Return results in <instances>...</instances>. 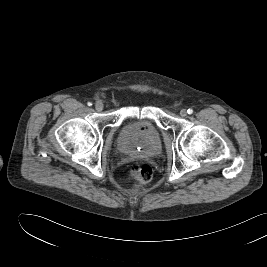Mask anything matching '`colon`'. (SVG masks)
<instances>
[{
    "instance_id": "1",
    "label": "colon",
    "mask_w": 267,
    "mask_h": 267,
    "mask_svg": "<svg viewBox=\"0 0 267 267\" xmlns=\"http://www.w3.org/2000/svg\"><path fill=\"white\" fill-rule=\"evenodd\" d=\"M152 167L145 162H134L127 169V177L136 184H146L152 179Z\"/></svg>"
}]
</instances>
